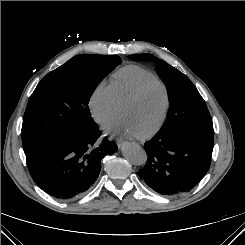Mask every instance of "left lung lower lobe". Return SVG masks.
I'll return each mask as SVG.
<instances>
[{"mask_svg": "<svg viewBox=\"0 0 245 245\" xmlns=\"http://www.w3.org/2000/svg\"><path fill=\"white\" fill-rule=\"evenodd\" d=\"M213 145V133L196 126L180 125L169 132H158L145 142L148 159L138 174L158 193L180 195L207 173Z\"/></svg>", "mask_w": 245, "mask_h": 245, "instance_id": "left-lung-lower-lobe-1", "label": "left lung lower lobe"}]
</instances>
